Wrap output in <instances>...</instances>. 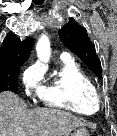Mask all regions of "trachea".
<instances>
[{
  "label": "trachea",
  "instance_id": "1",
  "mask_svg": "<svg viewBox=\"0 0 117 136\" xmlns=\"http://www.w3.org/2000/svg\"><path fill=\"white\" fill-rule=\"evenodd\" d=\"M36 5H41L43 2H44V0H34L33 1Z\"/></svg>",
  "mask_w": 117,
  "mask_h": 136
}]
</instances>
